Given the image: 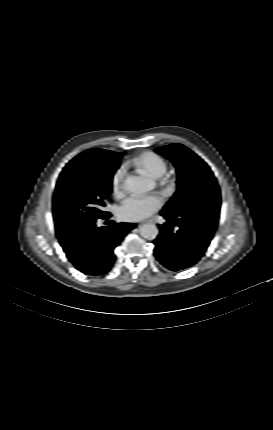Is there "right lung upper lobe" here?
Here are the masks:
<instances>
[{
	"label": "right lung upper lobe",
	"instance_id": "1",
	"mask_svg": "<svg viewBox=\"0 0 273 430\" xmlns=\"http://www.w3.org/2000/svg\"><path fill=\"white\" fill-rule=\"evenodd\" d=\"M80 155L96 161L118 162L120 164V154L108 150L91 149L81 153Z\"/></svg>",
	"mask_w": 273,
	"mask_h": 430
}]
</instances>
